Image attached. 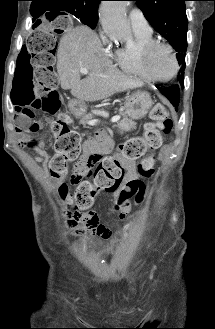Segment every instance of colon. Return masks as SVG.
<instances>
[{"mask_svg": "<svg viewBox=\"0 0 215 329\" xmlns=\"http://www.w3.org/2000/svg\"><path fill=\"white\" fill-rule=\"evenodd\" d=\"M69 26H72L71 14H41V19H34V25L30 27L26 48L21 55L14 56L15 73H29L19 74V81H12L9 88L10 93H15L10 101L15 103L19 116L25 122L19 127L22 132L37 133L39 125H28L27 120L37 115L55 117L59 110L53 65L56 49L59 48L57 38H63V32H69ZM151 119L152 122L145 125L143 136L131 138L119 146L118 156L93 154L81 167L74 168L71 175V182L76 185L74 192L69 191L67 183H60L58 192L70 208L85 214L98 192L119 189L124 177L122 159H140L139 173L147 178L153 175L154 161L152 157L145 156L146 152L160 146L162 136L168 135L172 129V120L166 107L160 103L153 106ZM69 122L66 114H60L52 125L56 141L49 170L54 179H63L67 175L68 164L80 153L81 136L70 129Z\"/></svg>", "mask_w": 215, "mask_h": 329, "instance_id": "obj_1", "label": "colon"}]
</instances>
